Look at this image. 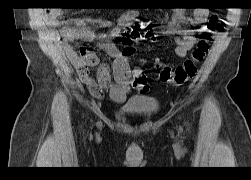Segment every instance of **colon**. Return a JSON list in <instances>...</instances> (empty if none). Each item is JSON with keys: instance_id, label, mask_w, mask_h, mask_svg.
Masks as SVG:
<instances>
[{"instance_id": "colon-1", "label": "colon", "mask_w": 251, "mask_h": 180, "mask_svg": "<svg viewBox=\"0 0 251 180\" xmlns=\"http://www.w3.org/2000/svg\"><path fill=\"white\" fill-rule=\"evenodd\" d=\"M216 25V19L213 18L209 22V26ZM158 35L153 32L148 26L140 22H135L127 28L121 35L120 41L123 44V55L130 57L134 54L133 42L148 41L154 42ZM209 50V38L205 34H200L198 42L189 58L183 63L171 67L156 63L159 68V79L165 84L181 86L191 79L197 72L198 64L203 60Z\"/></svg>"}]
</instances>
